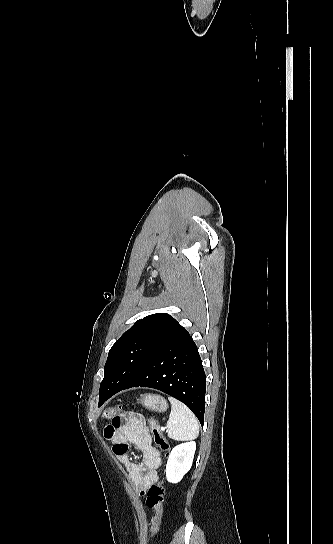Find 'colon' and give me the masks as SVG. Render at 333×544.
<instances>
[{
  "mask_svg": "<svg viewBox=\"0 0 333 544\" xmlns=\"http://www.w3.org/2000/svg\"><path fill=\"white\" fill-rule=\"evenodd\" d=\"M121 411L120 406H112L107 409H105L101 417L103 419H113L116 416L119 415ZM149 427L153 436V440L155 445L166 455H168L171 445L167 441V439L163 436L160 425L158 421L155 418H149L148 419ZM164 498H165V486L164 482L160 480L159 482L153 484L147 491L146 496V505L149 508L154 509L155 515L152 518V525H151V536L152 538L155 537V535L160 530V525L163 517L164 512Z\"/></svg>",
  "mask_w": 333,
  "mask_h": 544,
  "instance_id": "5ec220e1",
  "label": "colon"
}]
</instances>
